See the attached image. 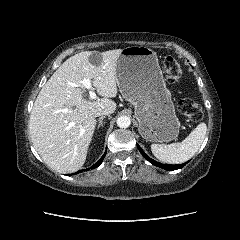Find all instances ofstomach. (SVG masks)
Here are the masks:
<instances>
[{
    "mask_svg": "<svg viewBox=\"0 0 240 240\" xmlns=\"http://www.w3.org/2000/svg\"><path fill=\"white\" fill-rule=\"evenodd\" d=\"M116 76L122 96L134 105L142 138L161 143L176 139L180 122L156 52L145 46L124 48Z\"/></svg>",
    "mask_w": 240,
    "mask_h": 240,
    "instance_id": "0dacf381",
    "label": "stomach"
}]
</instances>
